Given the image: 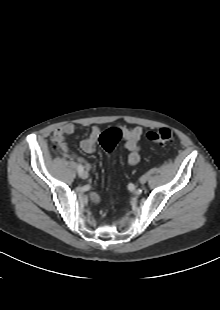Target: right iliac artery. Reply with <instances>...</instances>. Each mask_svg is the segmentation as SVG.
I'll return each mask as SVG.
<instances>
[{
  "instance_id": "obj_1",
  "label": "right iliac artery",
  "mask_w": 220,
  "mask_h": 310,
  "mask_svg": "<svg viewBox=\"0 0 220 310\" xmlns=\"http://www.w3.org/2000/svg\"><path fill=\"white\" fill-rule=\"evenodd\" d=\"M77 170H78L79 175H81V173L84 170V167L81 164H79Z\"/></svg>"
}]
</instances>
